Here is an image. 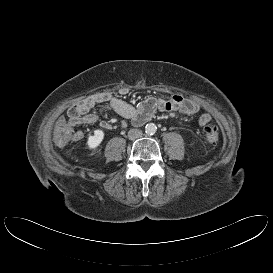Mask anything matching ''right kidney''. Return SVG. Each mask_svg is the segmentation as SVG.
<instances>
[{
  "label": "right kidney",
  "mask_w": 273,
  "mask_h": 273,
  "mask_svg": "<svg viewBox=\"0 0 273 273\" xmlns=\"http://www.w3.org/2000/svg\"><path fill=\"white\" fill-rule=\"evenodd\" d=\"M104 139V132L103 130H95L94 131V135H90L88 137V140H87V146L90 148V149H96L100 144L101 142L103 141Z\"/></svg>",
  "instance_id": "obj_1"
}]
</instances>
